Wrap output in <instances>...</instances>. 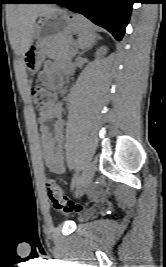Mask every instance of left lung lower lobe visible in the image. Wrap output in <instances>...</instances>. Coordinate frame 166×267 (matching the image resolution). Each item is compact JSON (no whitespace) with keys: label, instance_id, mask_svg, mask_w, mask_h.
I'll return each instance as SVG.
<instances>
[{"label":"left lung lower lobe","instance_id":"left-lung-lower-lobe-1","mask_svg":"<svg viewBox=\"0 0 166 267\" xmlns=\"http://www.w3.org/2000/svg\"><path fill=\"white\" fill-rule=\"evenodd\" d=\"M33 3H57L83 14L95 24L107 29L120 41L128 24L133 0H36Z\"/></svg>","mask_w":166,"mask_h":267}]
</instances>
